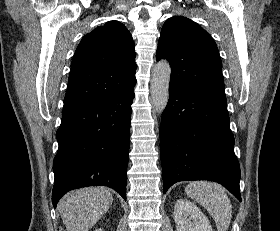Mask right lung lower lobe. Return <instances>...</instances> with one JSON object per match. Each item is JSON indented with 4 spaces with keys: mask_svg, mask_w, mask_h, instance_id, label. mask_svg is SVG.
Returning <instances> with one entry per match:
<instances>
[{
    "mask_svg": "<svg viewBox=\"0 0 280 231\" xmlns=\"http://www.w3.org/2000/svg\"><path fill=\"white\" fill-rule=\"evenodd\" d=\"M134 90L63 111L56 133L52 203L85 186L113 188L126 200Z\"/></svg>",
    "mask_w": 280,
    "mask_h": 231,
    "instance_id": "obj_1",
    "label": "right lung lower lobe"
}]
</instances>
